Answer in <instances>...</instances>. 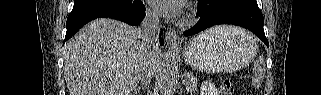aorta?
Wrapping results in <instances>:
<instances>
[{
    "mask_svg": "<svg viewBox=\"0 0 321 95\" xmlns=\"http://www.w3.org/2000/svg\"><path fill=\"white\" fill-rule=\"evenodd\" d=\"M179 78L178 55L176 50L168 52L160 73V95H174Z\"/></svg>",
    "mask_w": 321,
    "mask_h": 95,
    "instance_id": "1",
    "label": "aorta"
}]
</instances>
